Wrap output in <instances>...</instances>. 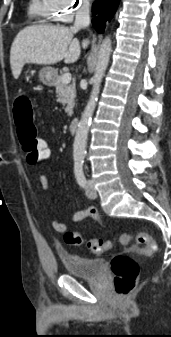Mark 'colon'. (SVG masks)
<instances>
[{"label":"colon","instance_id":"colon-1","mask_svg":"<svg viewBox=\"0 0 171 337\" xmlns=\"http://www.w3.org/2000/svg\"><path fill=\"white\" fill-rule=\"evenodd\" d=\"M15 124L17 134L25 153L26 161L35 164L38 161H47L48 156H52L53 145L48 144L47 137H40V133L34 122V114L30 99L21 95L14 103ZM132 239L139 245L138 251L151 254L157 250V243L147 232H137L134 235L128 232H121L117 236V242L122 246H128ZM67 244L78 246L83 243L80 233L67 231L64 235ZM113 245L112 241L102 239H92L87 246L93 253H103ZM113 273V284L115 291L120 296L129 295L135 288L139 276V265L135 258L127 254H118L111 261Z\"/></svg>","mask_w":171,"mask_h":337}]
</instances>
